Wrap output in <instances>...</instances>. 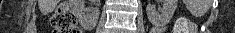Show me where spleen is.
Returning a JSON list of instances; mask_svg holds the SVG:
<instances>
[{
	"label": "spleen",
	"mask_w": 235,
	"mask_h": 33,
	"mask_svg": "<svg viewBox=\"0 0 235 33\" xmlns=\"http://www.w3.org/2000/svg\"><path fill=\"white\" fill-rule=\"evenodd\" d=\"M202 8H203V10H204V11H206V10H207V8H208V6H207L206 4H204V6H203ZM194 13H195V14H196V13H198V14H199L200 12H199V11H197V12L195 11Z\"/></svg>",
	"instance_id": "1"
}]
</instances>
